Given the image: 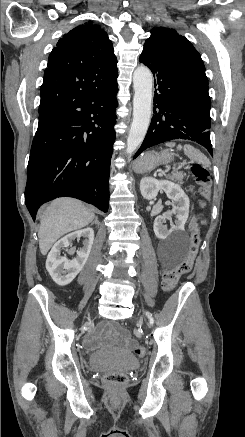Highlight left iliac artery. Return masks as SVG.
<instances>
[{"mask_svg": "<svg viewBox=\"0 0 245 437\" xmlns=\"http://www.w3.org/2000/svg\"><path fill=\"white\" fill-rule=\"evenodd\" d=\"M146 315L148 316L150 323L153 324V318L149 312H146Z\"/></svg>", "mask_w": 245, "mask_h": 437, "instance_id": "left-iliac-artery-1", "label": "left iliac artery"}]
</instances>
